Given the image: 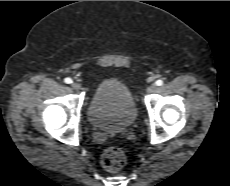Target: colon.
I'll use <instances>...</instances> for the list:
<instances>
[{"label": "colon", "instance_id": "1", "mask_svg": "<svg viewBox=\"0 0 230 186\" xmlns=\"http://www.w3.org/2000/svg\"><path fill=\"white\" fill-rule=\"evenodd\" d=\"M126 163L125 153L119 148H109L101 156L102 166L111 172L120 170Z\"/></svg>", "mask_w": 230, "mask_h": 186}]
</instances>
